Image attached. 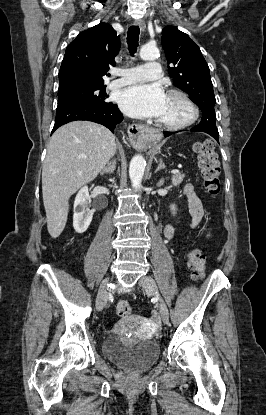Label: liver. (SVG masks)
Returning a JSON list of instances; mask_svg holds the SVG:
<instances>
[{
  "mask_svg": "<svg viewBox=\"0 0 266 415\" xmlns=\"http://www.w3.org/2000/svg\"><path fill=\"white\" fill-rule=\"evenodd\" d=\"M115 152V136L97 123L74 121L54 132L42 169L43 202L52 238L65 228L71 195L93 181Z\"/></svg>",
  "mask_w": 266,
  "mask_h": 415,
  "instance_id": "liver-1",
  "label": "liver"
}]
</instances>
